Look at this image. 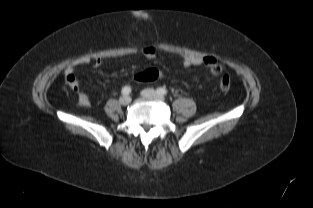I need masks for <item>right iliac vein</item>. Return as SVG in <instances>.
<instances>
[{
  "mask_svg": "<svg viewBox=\"0 0 313 208\" xmlns=\"http://www.w3.org/2000/svg\"><path fill=\"white\" fill-rule=\"evenodd\" d=\"M131 102V98L127 95L125 96H122L120 99H119V103L123 106H126L128 105L129 103Z\"/></svg>",
  "mask_w": 313,
  "mask_h": 208,
  "instance_id": "right-iliac-vein-1",
  "label": "right iliac vein"
}]
</instances>
